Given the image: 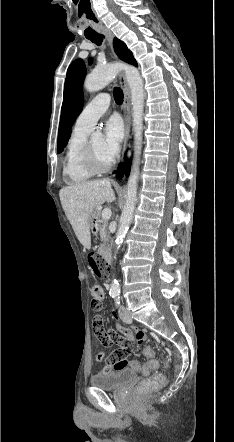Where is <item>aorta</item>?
<instances>
[{
    "mask_svg": "<svg viewBox=\"0 0 234 442\" xmlns=\"http://www.w3.org/2000/svg\"><path fill=\"white\" fill-rule=\"evenodd\" d=\"M124 70L126 80L131 90L132 120L134 131V161L133 171L127 184L126 203L119 220V227L116 232L115 244L117 249L121 247L133 218L137 200V187L139 178V162L142 149L143 134V111H144V83L137 68L128 64L116 63L97 68L88 74L84 81V88L89 92H96L103 89L110 83L119 71ZM101 136L100 133L93 134V137ZM110 292L119 294L120 286L116 279L113 280Z\"/></svg>",
    "mask_w": 234,
    "mask_h": 442,
    "instance_id": "1",
    "label": "aorta"
}]
</instances>
